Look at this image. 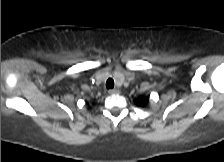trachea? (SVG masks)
<instances>
[{"label":"trachea","instance_id":"1","mask_svg":"<svg viewBox=\"0 0 224 162\" xmlns=\"http://www.w3.org/2000/svg\"><path fill=\"white\" fill-rule=\"evenodd\" d=\"M106 87L107 89H113L114 87V80L109 78L107 81H106Z\"/></svg>","mask_w":224,"mask_h":162}]
</instances>
